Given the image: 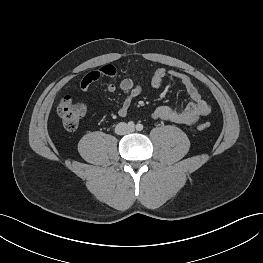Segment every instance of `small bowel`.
I'll list each match as a JSON object with an SVG mask.
<instances>
[{"label": "small bowel", "instance_id": "small-bowel-1", "mask_svg": "<svg viewBox=\"0 0 263 263\" xmlns=\"http://www.w3.org/2000/svg\"><path fill=\"white\" fill-rule=\"evenodd\" d=\"M115 76L116 70L114 67L104 66L84 75L80 81V88L83 91H89L92 85L102 78H114ZM165 78L177 80L186 89L192 101L184 108L161 105L152 113L154 119L169 121L184 126H191L200 118L207 116L210 113V105L203 99L192 78L187 74L174 69H157L150 79V87L152 89L160 88ZM119 88L125 94V98L119 105L117 114L119 116H125L128 113L133 99L141 94L142 87L132 79L125 78L120 82ZM106 89L109 93H115L117 91V86L114 83H109Z\"/></svg>", "mask_w": 263, "mask_h": 263}]
</instances>
